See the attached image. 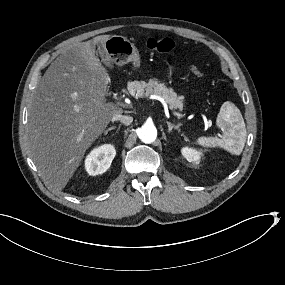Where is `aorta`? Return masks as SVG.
Masks as SVG:
<instances>
[{
    "label": "aorta",
    "instance_id": "aorta-1",
    "mask_svg": "<svg viewBox=\"0 0 285 285\" xmlns=\"http://www.w3.org/2000/svg\"><path fill=\"white\" fill-rule=\"evenodd\" d=\"M138 136L143 143L151 144L156 140L157 130L153 124H143Z\"/></svg>",
    "mask_w": 285,
    "mask_h": 285
}]
</instances>
